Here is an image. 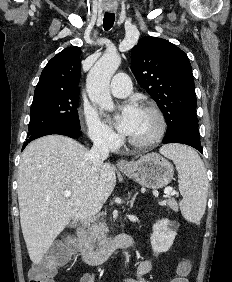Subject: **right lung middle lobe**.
<instances>
[{
	"label": "right lung middle lobe",
	"mask_w": 232,
	"mask_h": 282,
	"mask_svg": "<svg viewBox=\"0 0 232 282\" xmlns=\"http://www.w3.org/2000/svg\"><path fill=\"white\" fill-rule=\"evenodd\" d=\"M79 93H34L30 111L28 136L56 125H67L80 130L78 117Z\"/></svg>",
	"instance_id": "1"
}]
</instances>
